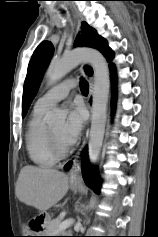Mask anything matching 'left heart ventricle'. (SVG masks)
Here are the masks:
<instances>
[{"mask_svg": "<svg viewBox=\"0 0 158 237\" xmlns=\"http://www.w3.org/2000/svg\"><path fill=\"white\" fill-rule=\"evenodd\" d=\"M63 128V124H58V125H54L52 127H50V130L53 134V136L55 137L57 143L63 147V148H67L68 146H66L63 141L61 140V131Z\"/></svg>", "mask_w": 158, "mask_h": 237, "instance_id": "left-heart-ventricle-1", "label": "left heart ventricle"}]
</instances>
